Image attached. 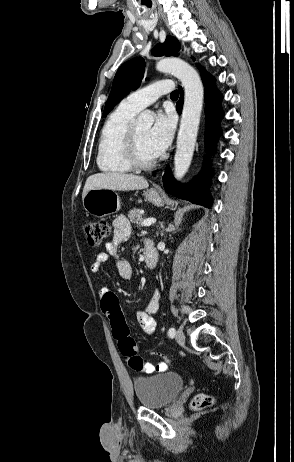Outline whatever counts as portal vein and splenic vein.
<instances>
[{"label":"portal vein and splenic vein","mask_w":294,"mask_h":462,"mask_svg":"<svg viewBox=\"0 0 294 462\" xmlns=\"http://www.w3.org/2000/svg\"><path fill=\"white\" fill-rule=\"evenodd\" d=\"M155 222H156V220L154 218H148V219H146V220H144L142 222V225L143 226H150V225L154 224Z\"/></svg>","instance_id":"18ae733b"}]
</instances>
